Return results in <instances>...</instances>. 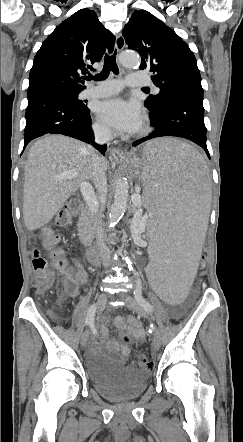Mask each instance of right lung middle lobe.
Here are the masks:
<instances>
[{
  "label": "right lung middle lobe",
  "instance_id": "dd1d6c3e",
  "mask_svg": "<svg viewBox=\"0 0 243 442\" xmlns=\"http://www.w3.org/2000/svg\"><path fill=\"white\" fill-rule=\"evenodd\" d=\"M79 104H80V106H83L84 107V103H83V101H81V100H79L78 99V94L81 92V91H67Z\"/></svg>",
  "mask_w": 243,
  "mask_h": 442
}]
</instances>
